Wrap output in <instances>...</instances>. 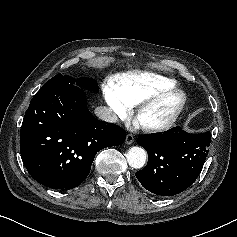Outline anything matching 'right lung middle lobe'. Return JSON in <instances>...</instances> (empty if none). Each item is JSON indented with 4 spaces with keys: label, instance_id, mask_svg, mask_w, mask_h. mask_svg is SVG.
I'll list each match as a JSON object with an SVG mask.
<instances>
[{
    "label": "right lung middle lobe",
    "instance_id": "1",
    "mask_svg": "<svg viewBox=\"0 0 237 237\" xmlns=\"http://www.w3.org/2000/svg\"><path fill=\"white\" fill-rule=\"evenodd\" d=\"M53 82L74 83L75 79L67 75L62 76L61 74H57L56 76L51 78L47 83H53ZM76 83L81 87H85L95 92H98L99 90L96 81L91 78H79L76 80Z\"/></svg>",
    "mask_w": 237,
    "mask_h": 237
}]
</instances>
